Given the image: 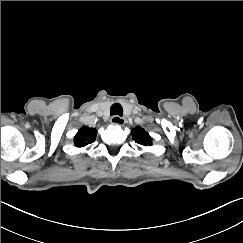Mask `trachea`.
<instances>
[{"label":"trachea","mask_w":243,"mask_h":243,"mask_svg":"<svg viewBox=\"0 0 243 243\" xmlns=\"http://www.w3.org/2000/svg\"><path fill=\"white\" fill-rule=\"evenodd\" d=\"M111 115H119L122 116L123 108L119 103H114L110 108Z\"/></svg>","instance_id":"1"}]
</instances>
